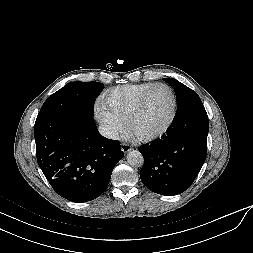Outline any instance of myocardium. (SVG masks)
<instances>
[{"label": "myocardium", "instance_id": "1", "mask_svg": "<svg viewBox=\"0 0 253 253\" xmlns=\"http://www.w3.org/2000/svg\"><path fill=\"white\" fill-rule=\"evenodd\" d=\"M157 87H165L169 90L171 97H172V101H173V107H172V114L170 119L168 120V122L166 123V125L161 128L160 130L153 132V133H148V134H136L132 131V125L133 123L136 121V119L138 118L139 114L142 111V108L145 104L146 98L149 95V93L157 88ZM177 112H178V100H177V96L175 94V91L173 90V88L166 84V83H155L152 84L151 86H149L139 97L133 111L131 112V114L129 115L127 121H126V126H127V130L138 140L143 141V142H149V141H153L156 140L160 137H162L164 134H166L169 129L172 127L176 116H177Z\"/></svg>", "mask_w": 253, "mask_h": 253}]
</instances>
